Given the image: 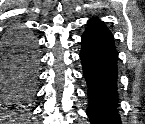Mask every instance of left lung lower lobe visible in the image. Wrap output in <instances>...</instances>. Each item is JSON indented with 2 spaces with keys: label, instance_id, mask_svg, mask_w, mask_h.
Here are the masks:
<instances>
[{
  "label": "left lung lower lobe",
  "instance_id": "0a47b994",
  "mask_svg": "<svg viewBox=\"0 0 145 124\" xmlns=\"http://www.w3.org/2000/svg\"><path fill=\"white\" fill-rule=\"evenodd\" d=\"M86 26L80 57L90 102L87 114L92 124H121L117 110L118 53L113 36L97 18Z\"/></svg>",
  "mask_w": 145,
  "mask_h": 124
}]
</instances>
